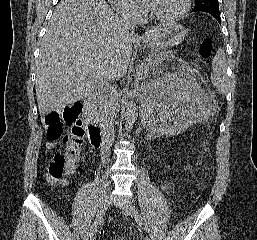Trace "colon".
Here are the masks:
<instances>
[{
    "label": "colon",
    "instance_id": "obj_1",
    "mask_svg": "<svg viewBox=\"0 0 257 240\" xmlns=\"http://www.w3.org/2000/svg\"><path fill=\"white\" fill-rule=\"evenodd\" d=\"M212 52L213 40L203 39L199 46L200 57L208 59ZM81 113V106L72 104L62 112H50L45 117L47 140L61 141L64 144V150L55 153L50 160L47 179L51 183L65 182L80 170L79 160L84 138ZM65 127L68 128L67 133H64Z\"/></svg>",
    "mask_w": 257,
    "mask_h": 240
}]
</instances>
